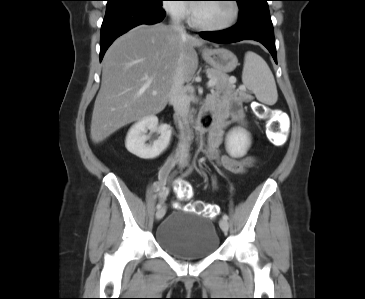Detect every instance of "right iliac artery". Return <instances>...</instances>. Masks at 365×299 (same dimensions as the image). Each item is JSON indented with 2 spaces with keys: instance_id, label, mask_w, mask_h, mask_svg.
<instances>
[{
  "instance_id": "obj_1",
  "label": "right iliac artery",
  "mask_w": 365,
  "mask_h": 299,
  "mask_svg": "<svg viewBox=\"0 0 365 299\" xmlns=\"http://www.w3.org/2000/svg\"><path fill=\"white\" fill-rule=\"evenodd\" d=\"M190 171H191V168L185 173V175L188 174ZM161 206H162V203L160 202V203L157 204L156 208L160 209Z\"/></svg>"
}]
</instances>
